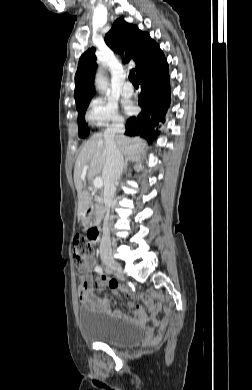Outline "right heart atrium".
<instances>
[{
    "label": "right heart atrium",
    "mask_w": 252,
    "mask_h": 390,
    "mask_svg": "<svg viewBox=\"0 0 252 390\" xmlns=\"http://www.w3.org/2000/svg\"><path fill=\"white\" fill-rule=\"evenodd\" d=\"M87 119L98 128L120 126L123 122L116 103L102 97L94 98L90 102Z\"/></svg>",
    "instance_id": "d8ad5b80"
}]
</instances>
